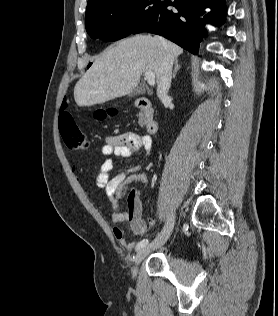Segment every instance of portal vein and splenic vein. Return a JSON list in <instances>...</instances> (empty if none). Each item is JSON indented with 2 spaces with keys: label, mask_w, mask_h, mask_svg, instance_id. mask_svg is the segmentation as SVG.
Returning a JSON list of instances; mask_svg holds the SVG:
<instances>
[{
  "label": "portal vein and splenic vein",
  "mask_w": 278,
  "mask_h": 316,
  "mask_svg": "<svg viewBox=\"0 0 278 316\" xmlns=\"http://www.w3.org/2000/svg\"><path fill=\"white\" fill-rule=\"evenodd\" d=\"M145 77L150 86L155 84V73L153 71H145Z\"/></svg>",
  "instance_id": "18ae733b"
}]
</instances>
